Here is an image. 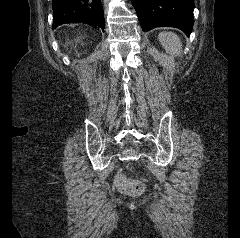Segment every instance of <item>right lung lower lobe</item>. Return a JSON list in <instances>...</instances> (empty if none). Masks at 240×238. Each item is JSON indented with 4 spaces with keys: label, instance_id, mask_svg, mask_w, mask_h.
Masks as SVG:
<instances>
[{
    "label": "right lung lower lobe",
    "instance_id": "obj_1",
    "mask_svg": "<svg viewBox=\"0 0 240 238\" xmlns=\"http://www.w3.org/2000/svg\"><path fill=\"white\" fill-rule=\"evenodd\" d=\"M53 29L64 23L85 22L104 30L100 0H52Z\"/></svg>",
    "mask_w": 240,
    "mask_h": 238
}]
</instances>
